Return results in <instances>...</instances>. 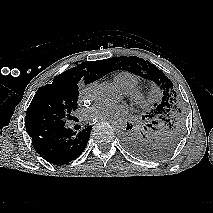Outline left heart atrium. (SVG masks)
<instances>
[{
    "instance_id": "obj_1",
    "label": "left heart atrium",
    "mask_w": 213,
    "mask_h": 213,
    "mask_svg": "<svg viewBox=\"0 0 213 213\" xmlns=\"http://www.w3.org/2000/svg\"><path fill=\"white\" fill-rule=\"evenodd\" d=\"M126 111L127 106L124 104H107L98 102L88 107L84 112V116L88 120H99L124 114Z\"/></svg>"
}]
</instances>
